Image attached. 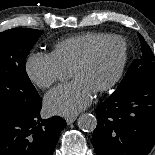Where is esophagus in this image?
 Wrapping results in <instances>:
<instances>
[{
	"mask_svg": "<svg viewBox=\"0 0 155 155\" xmlns=\"http://www.w3.org/2000/svg\"><path fill=\"white\" fill-rule=\"evenodd\" d=\"M76 120V117H66L67 124H72Z\"/></svg>",
	"mask_w": 155,
	"mask_h": 155,
	"instance_id": "esophagus-1",
	"label": "esophagus"
}]
</instances>
